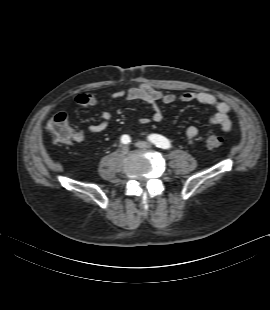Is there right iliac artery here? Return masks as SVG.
Instances as JSON below:
<instances>
[{"mask_svg":"<svg viewBox=\"0 0 270 310\" xmlns=\"http://www.w3.org/2000/svg\"><path fill=\"white\" fill-rule=\"evenodd\" d=\"M121 142H122L123 144H129V143L131 142V139H130V137H129L128 135H123V136L121 137Z\"/></svg>","mask_w":270,"mask_h":310,"instance_id":"82829eb1","label":"right iliac artery"}]
</instances>
